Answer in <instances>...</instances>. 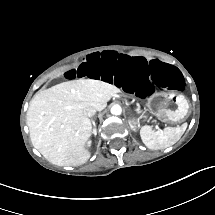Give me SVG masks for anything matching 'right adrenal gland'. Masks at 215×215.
Wrapping results in <instances>:
<instances>
[{
	"instance_id": "right-adrenal-gland-1",
	"label": "right adrenal gland",
	"mask_w": 215,
	"mask_h": 215,
	"mask_svg": "<svg viewBox=\"0 0 215 215\" xmlns=\"http://www.w3.org/2000/svg\"><path fill=\"white\" fill-rule=\"evenodd\" d=\"M91 121H92V124H93V126H94V128H93V130H92V133L96 136V135H97L96 124H95V122H94L93 119H92Z\"/></svg>"
}]
</instances>
